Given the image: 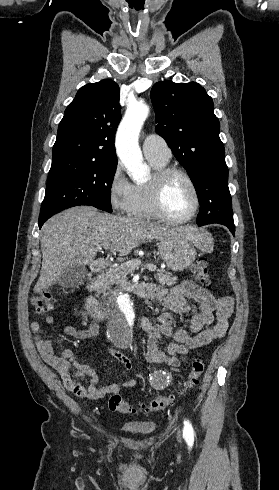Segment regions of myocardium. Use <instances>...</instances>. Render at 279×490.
Wrapping results in <instances>:
<instances>
[{
    "label": "myocardium",
    "mask_w": 279,
    "mask_h": 490,
    "mask_svg": "<svg viewBox=\"0 0 279 490\" xmlns=\"http://www.w3.org/2000/svg\"><path fill=\"white\" fill-rule=\"evenodd\" d=\"M173 176H181L187 180L194 192V206L191 213L185 218H174L168 214L164 206V194L167 184ZM151 204L155 215L172 224H182L192 220L201 205V196L197 183L193 177L183 168L177 166H165L156 171L152 181Z\"/></svg>",
    "instance_id": "f54148a6"
}]
</instances>
